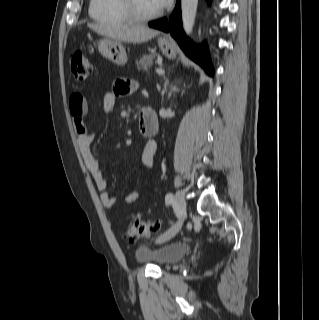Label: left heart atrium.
Masks as SVG:
<instances>
[{
    "mask_svg": "<svg viewBox=\"0 0 319 320\" xmlns=\"http://www.w3.org/2000/svg\"><path fill=\"white\" fill-rule=\"evenodd\" d=\"M153 2L158 9H163L170 4L171 0H153Z\"/></svg>",
    "mask_w": 319,
    "mask_h": 320,
    "instance_id": "39dd6f15",
    "label": "left heart atrium"
}]
</instances>
